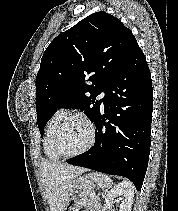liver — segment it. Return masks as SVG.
<instances>
[{
  "mask_svg": "<svg viewBox=\"0 0 178 211\" xmlns=\"http://www.w3.org/2000/svg\"><path fill=\"white\" fill-rule=\"evenodd\" d=\"M85 168L60 162L42 161L40 174L51 211H64L71 185Z\"/></svg>",
  "mask_w": 178,
  "mask_h": 211,
  "instance_id": "1",
  "label": "liver"
}]
</instances>
